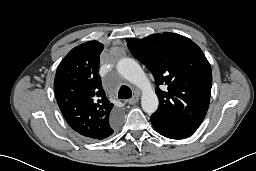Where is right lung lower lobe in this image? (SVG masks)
<instances>
[{
  "label": "right lung lower lobe",
  "mask_w": 256,
  "mask_h": 171,
  "mask_svg": "<svg viewBox=\"0 0 256 171\" xmlns=\"http://www.w3.org/2000/svg\"><path fill=\"white\" fill-rule=\"evenodd\" d=\"M120 119L121 118H120V114L119 113L115 114L112 117V119L110 121V129L112 130V132H114V130L118 128V126L120 124Z\"/></svg>",
  "instance_id": "1"
}]
</instances>
